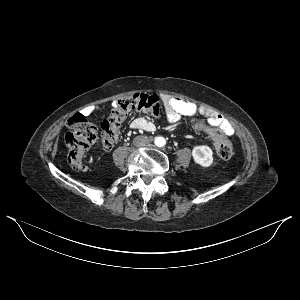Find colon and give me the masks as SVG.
Returning a JSON list of instances; mask_svg holds the SVG:
<instances>
[{
    "instance_id": "5ec220e1",
    "label": "colon",
    "mask_w": 300,
    "mask_h": 300,
    "mask_svg": "<svg viewBox=\"0 0 300 300\" xmlns=\"http://www.w3.org/2000/svg\"><path fill=\"white\" fill-rule=\"evenodd\" d=\"M134 111L159 117L162 113V103L157 95L146 93H137L117 100L113 104L110 116L101 124L100 136L104 148L110 149L115 145L123 122ZM193 124L197 129L206 131L215 140L216 151L220 158L227 160L232 157L233 146L219 129L207 125L200 117H196ZM67 126L69 131L65 136V142L68 149V164L72 169L82 171L85 169V153L96 141L97 128L82 115L71 117Z\"/></svg>"
}]
</instances>
